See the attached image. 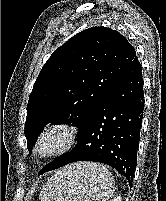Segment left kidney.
Instances as JSON below:
<instances>
[{
    "mask_svg": "<svg viewBox=\"0 0 166 201\" xmlns=\"http://www.w3.org/2000/svg\"><path fill=\"white\" fill-rule=\"evenodd\" d=\"M110 201H121V197L117 196L116 198H114L113 200H110Z\"/></svg>",
    "mask_w": 166,
    "mask_h": 201,
    "instance_id": "left-kidney-1",
    "label": "left kidney"
}]
</instances>
